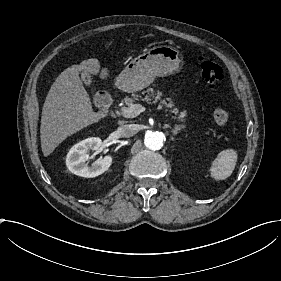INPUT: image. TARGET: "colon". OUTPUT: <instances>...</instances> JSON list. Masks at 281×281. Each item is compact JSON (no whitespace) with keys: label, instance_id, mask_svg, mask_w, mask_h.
<instances>
[{"label":"colon","instance_id":"1","mask_svg":"<svg viewBox=\"0 0 281 281\" xmlns=\"http://www.w3.org/2000/svg\"><path fill=\"white\" fill-rule=\"evenodd\" d=\"M199 68L202 78L209 88L219 89L225 84L226 77L223 69L213 61L202 57L199 60ZM229 118L228 111L223 108L217 109L214 112V120L219 127L227 126Z\"/></svg>","mask_w":281,"mask_h":281}]
</instances>
